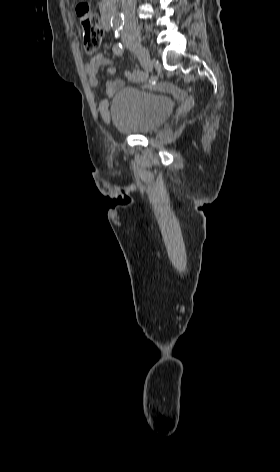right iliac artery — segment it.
<instances>
[{"mask_svg": "<svg viewBox=\"0 0 280 472\" xmlns=\"http://www.w3.org/2000/svg\"><path fill=\"white\" fill-rule=\"evenodd\" d=\"M112 28L114 30L120 29V27H118V26H112ZM113 51L116 55H121L122 52H123V45L121 43L115 44L114 47H113ZM133 74H134L135 78L139 81H146L147 78H148V74L143 72V71H140V70H134Z\"/></svg>", "mask_w": 280, "mask_h": 472, "instance_id": "82829eb1", "label": "right iliac artery"}]
</instances>
